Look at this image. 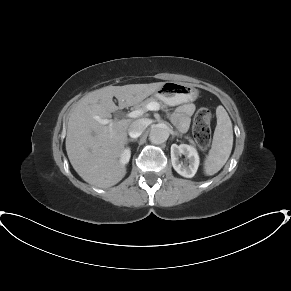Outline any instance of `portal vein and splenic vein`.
<instances>
[{
	"label": "portal vein and splenic vein",
	"instance_id": "obj_1",
	"mask_svg": "<svg viewBox=\"0 0 291 291\" xmlns=\"http://www.w3.org/2000/svg\"><path fill=\"white\" fill-rule=\"evenodd\" d=\"M160 109V105L157 102H150L149 104L146 105V107L144 109H138V110H134L130 113L127 114V117L129 118H138L140 116H142L146 111H158ZM95 119L103 124H109L110 127L112 126V120L109 119H102L98 116L95 117ZM111 129V128H110Z\"/></svg>",
	"mask_w": 291,
	"mask_h": 291
}]
</instances>
